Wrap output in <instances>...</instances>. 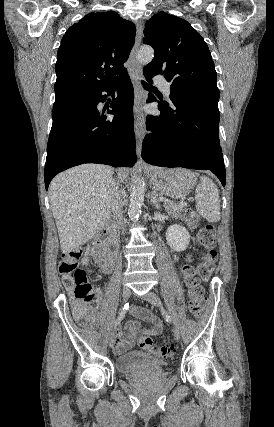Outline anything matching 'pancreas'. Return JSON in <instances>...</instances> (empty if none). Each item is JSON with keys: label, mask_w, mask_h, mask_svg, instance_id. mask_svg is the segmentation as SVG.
Listing matches in <instances>:
<instances>
[{"label": "pancreas", "mask_w": 274, "mask_h": 427, "mask_svg": "<svg viewBox=\"0 0 274 427\" xmlns=\"http://www.w3.org/2000/svg\"><path fill=\"white\" fill-rule=\"evenodd\" d=\"M164 208L167 214L173 215V217H179L181 212H186V210H184L185 204H175V202H165Z\"/></svg>", "instance_id": "obj_1"}]
</instances>
